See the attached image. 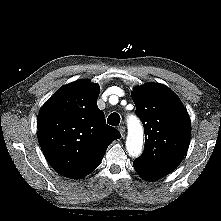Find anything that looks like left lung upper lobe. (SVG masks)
<instances>
[{"instance_id": "1", "label": "left lung upper lobe", "mask_w": 221, "mask_h": 221, "mask_svg": "<svg viewBox=\"0 0 221 221\" xmlns=\"http://www.w3.org/2000/svg\"><path fill=\"white\" fill-rule=\"evenodd\" d=\"M132 98L145 130L144 152L135 161L169 174L187 152L191 136L189 114L174 92L162 84L136 87Z\"/></svg>"}]
</instances>
